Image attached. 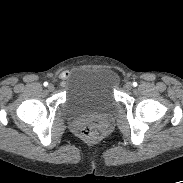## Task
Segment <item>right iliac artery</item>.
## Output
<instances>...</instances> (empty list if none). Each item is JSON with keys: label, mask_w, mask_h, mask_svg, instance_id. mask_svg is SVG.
<instances>
[{"label": "right iliac artery", "mask_w": 183, "mask_h": 183, "mask_svg": "<svg viewBox=\"0 0 183 183\" xmlns=\"http://www.w3.org/2000/svg\"><path fill=\"white\" fill-rule=\"evenodd\" d=\"M45 87L48 85V82H44V84H43Z\"/></svg>", "instance_id": "1"}]
</instances>
